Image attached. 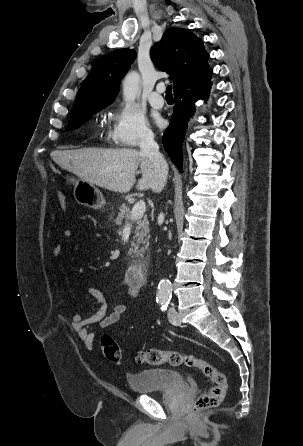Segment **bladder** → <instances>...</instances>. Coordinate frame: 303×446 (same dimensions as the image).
<instances>
[{"label": "bladder", "instance_id": "bladder-1", "mask_svg": "<svg viewBox=\"0 0 303 446\" xmlns=\"http://www.w3.org/2000/svg\"><path fill=\"white\" fill-rule=\"evenodd\" d=\"M127 381L130 389L139 394L166 391L186 385L180 372L164 368L144 369L129 374Z\"/></svg>", "mask_w": 303, "mask_h": 446}]
</instances>
